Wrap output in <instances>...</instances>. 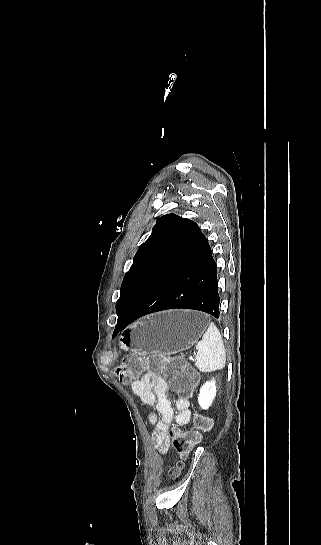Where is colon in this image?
<instances>
[{
    "label": "colon",
    "instance_id": "colon-1",
    "mask_svg": "<svg viewBox=\"0 0 321 545\" xmlns=\"http://www.w3.org/2000/svg\"><path fill=\"white\" fill-rule=\"evenodd\" d=\"M159 376L164 374L172 378L173 389L181 396L190 395L195 383L196 374L193 369L180 357L164 358L159 354L137 355L128 357L122 364L116 367L115 372L122 383L128 384L141 372ZM210 427V421L204 418L197 420V428L206 431ZM200 431L181 432L177 428L170 430L172 445L180 456L187 455L200 441ZM178 468L170 469L171 475H176Z\"/></svg>",
    "mask_w": 321,
    "mask_h": 545
}]
</instances>
